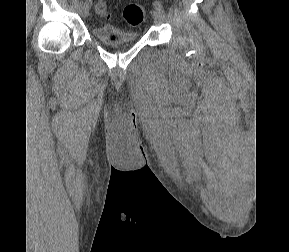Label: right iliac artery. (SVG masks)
<instances>
[{
	"instance_id": "82829eb1",
	"label": "right iliac artery",
	"mask_w": 289,
	"mask_h": 252,
	"mask_svg": "<svg viewBox=\"0 0 289 252\" xmlns=\"http://www.w3.org/2000/svg\"><path fill=\"white\" fill-rule=\"evenodd\" d=\"M91 3H92V0H86L87 5H91Z\"/></svg>"
}]
</instances>
